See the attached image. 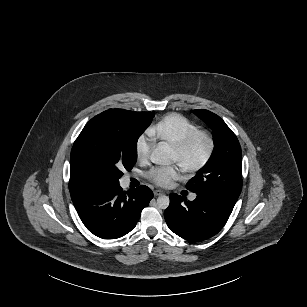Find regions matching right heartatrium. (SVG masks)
Returning a JSON list of instances; mask_svg holds the SVG:
<instances>
[{
  "label": "right heart atrium",
  "instance_id": "1",
  "mask_svg": "<svg viewBox=\"0 0 307 307\" xmlns=\"http://www.w3.org/2000/svg\"><path fill=\"white\" fill-rule=\"evenodd\" d=\"M154 150V141L149 136H141L135 144L136 159L140 163H146Z\"/></svg>",
  "mask_w": 307,
  "mask_h": 307
}]
</instances>
